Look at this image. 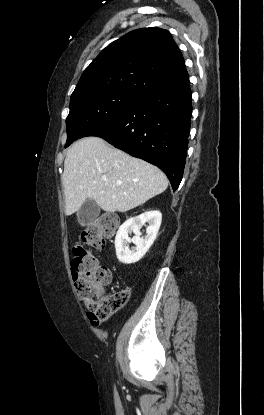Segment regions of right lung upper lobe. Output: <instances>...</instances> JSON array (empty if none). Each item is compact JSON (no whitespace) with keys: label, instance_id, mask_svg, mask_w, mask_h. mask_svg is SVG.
I'll use <instances>...</instances> for the list:
<instances>
[{"label":"right lung upper lobe","instance_id":"right-lung-upper-lobe-1","mask_svg":"<svg viewBox=\"0 0 264 415\" xmlns=\"http://www.w3.org/2000/svg\"><path fill=\"white\" fill-rule=\"evenodd\" d=\"M189 77L169 31L141 28L108 45L85 69L71 95L121 91L144 97Z\"/></svg>","mask_w":264,"mask_h":415}]
</instances>
